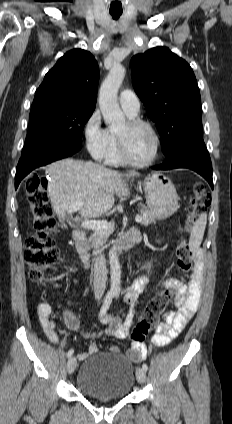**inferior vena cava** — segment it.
Wrapping results in <instances>:
<instances>
[{
  "label": "inferior vena cava",
  "instance_id": "602c4592",
  "mask_svg": "<svg viewBox=\"0 0 232 424\" xmlns=\"http://www.w3.org/2000/svg\"><path fill=\"white\" fill-rule=\"evenodd\" d=\"M106 260L99 246L96 249V258L94 263V295L96 300H100L106 289L107 281Z\"/></svg>",
  "mask_w": 232,
  "mask_h": 424
}]
</instances>
